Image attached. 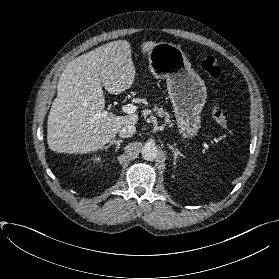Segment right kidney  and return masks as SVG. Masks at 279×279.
Returning a JSON list of instances; mask_svg holds the SVG:
<instances>
[{"label": "right kidney", "mask_w": 279, "mask_h": 279, "mask_svg": "<svg viewBox=\"0 0 279 279\" xmlns=\"http://www.w3.org/2000/svg\"><path fill=\"white\" fill-rule=\"evenodd\" d=\"M92 160L96 163H101L102 162V158L101 156H97L95 155L94 157H92Z\"/></svg>", "instance_id": "obj_1"}]
</instances>
